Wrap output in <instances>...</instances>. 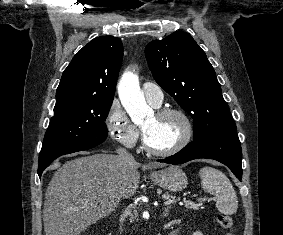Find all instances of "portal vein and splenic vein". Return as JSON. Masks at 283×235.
<instances>
[{"mask_svg":"<svg viewBox=\"0 0 283 235\" xmlns=\"http://www.w3.org/2000/svg\"><path fill=\"white\" fill-rule=\"evenodd\" d=\"M165 198V197H164ZM179 200V199H178ZM174 201V198H172V200H169L168 202H165V204H168L170 202H173Z\"/></svg>","mask_w":283,"mask_h":235,"instance_id":"portal-vein-and-splenic-vein-1","label":"portal vein and splenic vein"}]
</instances>
